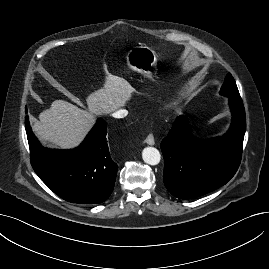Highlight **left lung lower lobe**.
I'll list each match as a JSON object with an SVG mask.
<instances>
[{"label":"left lung lower lobe","instance_id":"0a47b994","mask_svg":"<svg viewBox=\"0 0 269 269\" xmlns=\"http://www.w3.org/2000/svg\"><path fill=\"white\" fill-rule=\"evenodd\" d=\"M232 124L222 137L201 141L190 131L187 120L177 117L161 142L163 181L180 199L205 195L226 184L236 173L242 155L246 127L241 98H229Z\"/></svg>","mask_w":269,"mask_h":269}]
</instances>
